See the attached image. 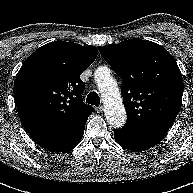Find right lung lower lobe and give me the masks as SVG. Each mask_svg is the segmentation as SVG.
<instances>
[{"instance_id":"98d812e1","label":"right lung lower lobe","mask_w":193,"mask_h":193,"mask_svg":"<svg viewBox=\"0 0 193 193\" xmlns=\"http://www.w3.org/2000/svg\"><path fill=\"white\" fill-rule=\"evenodd\" d=\"M86 121H83L74 127L50 136L34 139L41 147L54 151L65 152L76 147L84 133Z\"/></svg>"}]
</instances>
